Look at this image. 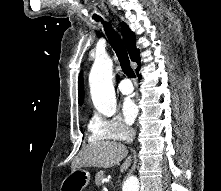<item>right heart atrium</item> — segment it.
<instances>
[{"label":"right heart atrium","instance_id":"right-heart-atrium-1","mask_svg":"<svg viewBox=\"0 0 221 191\" xmlns=\"http://www.w3.org/2000/svg\"><path fill=\"white\" fill-rule=\"evenodd\" d=\"M90 132L93 139L124 141L132 134L133 129L120 116L105 118L97 115L92 119Z\"/></svg>","mask_w":221,"mask_h":191}]
</instances>
